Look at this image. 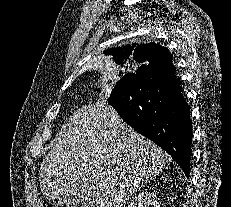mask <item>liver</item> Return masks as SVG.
<instances>
[{"label":"liver","instance_id":"1","mask_svg":"<svg viewBox=\"0 0 231 207\" xmlns=\"http://www.w3.org/2000/svg\"><path fill=\"white\" fill-rule=\"evenodd\" d=\"M168 163V155L105 102L72 114L39 171L48 198L74 195L82 207H122Z\"/></svg>","mask_w":231,"mask_h":207}]
</instances>
